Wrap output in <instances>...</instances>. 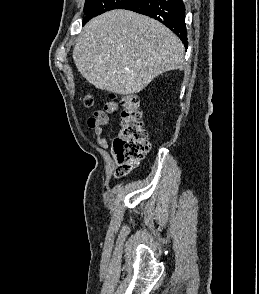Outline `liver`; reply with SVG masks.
<instances>
[{
  "label": "liver",
  "mask_w": 259,
  "mask_h": 294,
  "mask_svg": "<svg viewBox=\"0 0 259 294\" xmlns=\"http://www.w3.org/2000/svg\"><path fill=\"white\" fill-rule=\"evenodd\" d=\"M185 49L162 23L128 10L90 20L73 49L81 75L96 88L129 95L163 72L182 69Z\"/></svg>",
  "instance_id": "6515ba94"
}]
</instances>
